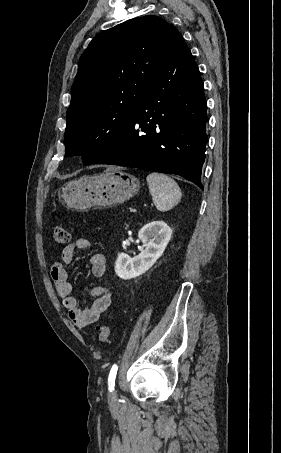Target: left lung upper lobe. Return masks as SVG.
I'll return each instance as SVG.
<instances>
[{
  "label": "left lung upper lobe",
  "instance_id": "5c2ea615",
  "mask_svg": "<svg viewBox=\"0 0 281 453\" xmlns=\"http://www.w3.org/2000/svg\"><path fill=\"white\" fill-rule=\"evenodd\" d=\"M179 32L147 15L99 33L84 51L66 113L65 156L97 161L127 127Z\"/></svg>",
  "mask_w": 281,
  "mask_h": 453
}]
</instances>
